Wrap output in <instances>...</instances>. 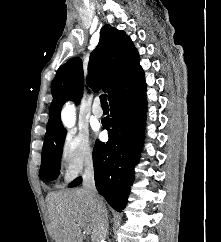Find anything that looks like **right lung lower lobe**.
Returning <instances> with one entry per match:
<instances>
[{"label": "right lung lower lobe", "instance_id": "1", "mask_svg": "<svg viewBox=\"0 0 221 242\" xmlns=\"http://www.w3.org/2000/svg\"><path fill=\"white\" fill-rule=\"evenodd\" d=\"M143 71L123 82L109 99L111 113L103 126L106 143L97 140L93 151L95 185L98 192L117 211L127 203L134 180V165L142 146L146 98ZM77 178L69 187H76Z\"/></svg>", "mask_w": 221, "mask_h": 242}]
</instances>
